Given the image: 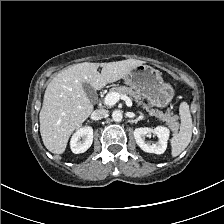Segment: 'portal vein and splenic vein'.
Returning <instances> with one entry per match:
<instances>
[{"label": "portal vein and splenic vein", "mask_w": 224, "mask_h": 224, "mask_svg": "<svg viewBox=\"0 0 224 224\" xmlns=\"http://www.w3.org/2000/svg\"><path fill=\"white\" fill-rule=\"evenodd\" d=\"M120 99L125 100V103L128 107L132 106V101L129 97L125 95H120L117 92L108 93L104 98V103L106 105L112 106L115 105Z\"/></svg>", "instance_id": "1"}]
</instances>
